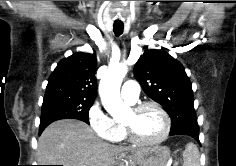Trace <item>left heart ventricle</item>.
<instances>
[{
	"label": "left heart ventricle",
	"instance_id": "1",
	"mask_svg": "<svg viewBox=\"0 0 236 166\" xmlns=\"http://www.w3.org/2000/svg\"><path fill=\"white\" fill-rule=\"evenodd\" d=\"M123 123L130 125L136 136L144 141L158 138L164 129L163 117L153 107H147L138 114L129 111Z\"/></svg>",
	"mask_w": 236,
	"mask_h": 166
}]
</instances>
